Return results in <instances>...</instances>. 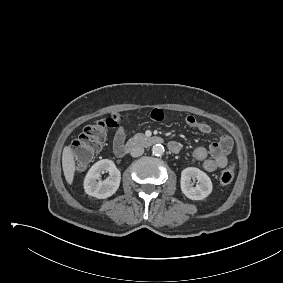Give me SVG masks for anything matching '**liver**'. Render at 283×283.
<instances>
[{"label": "liver", "instance_id": "6515ba94", "mask_svg": "<svg viewBox=\"0 0 283 283\" xmlns=\"http://www.w3.org/2000/svg\"><path fill=\"white\" fill-rule=\"evenodd\" d=\"M62 167L65 179L68 184L73 183L76 165L74 161V154L70 146H65L62 153Z\"/></svg>", "mask_w": 283, "mask_h": 283}]
</instances>
